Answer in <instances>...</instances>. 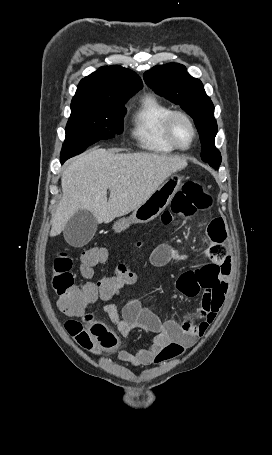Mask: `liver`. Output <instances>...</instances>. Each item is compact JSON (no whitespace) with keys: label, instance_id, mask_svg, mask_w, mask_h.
<instances>
[{"label":"liver","instance_id":"obj_1","mask_svg":"<svg viewBox=\"0 0 272 455\" xmlns=\"http://www.w3.org/2000/svg\"><path fill=\"white\" fill-rule=\"evenodd\" d=\"M186 166V159L178 156L117 153L103 148L76 157L61 177L63 196L51 221L50 236L59 235L79 210L91 212L97 223L128 214Z\"/></svg>","mask_w":272,"mask_h":455}]
</instances>
